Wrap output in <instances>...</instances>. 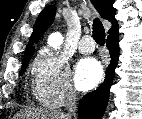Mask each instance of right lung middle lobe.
I'll return each mask as SVG.
<instances>
[{
    "label": "right lung middle lobe",
    "mask_w": 142,
    "mask_h": 119,
    "mask_svg": "<svg viewBox=\"0 0 142 119\" xmlns=\"http://www.w3.org/2000/svg\"><path fill=\"white\" fill-rule=\"evenodd\" d=\"M28 62H29V60L26 61L25 63H22V69H21V73H22V74L24 73V71H25V69H26V67H27Z\"/></svg>",
    "instance_id": "1"
}]
</instances>
